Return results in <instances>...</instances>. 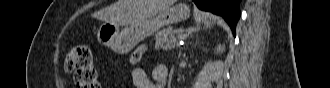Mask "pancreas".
<instances>
[{
    "mask_svg": "<svg viewBox=\"0 0 330 88\" xmlns=\"http://www.w3.org/2000/svg\"><path fill=\"white\" fill-rule=\"evenodd\" d=\"M181 29L172 31L169 28L163 29L155 36L156 44L155 49L170 50L171 48L178 47V40L175 35H179Z\"/></svg>",
    "mask_w": 330,
    "mask_h": 88,
    "instance_id": "obj_1",
    "label": "pancreas"
}]
</instances>
